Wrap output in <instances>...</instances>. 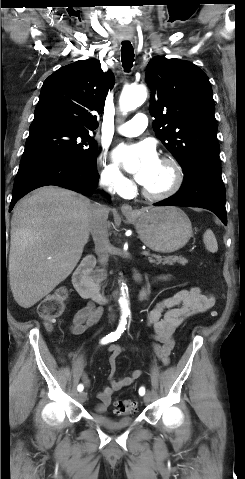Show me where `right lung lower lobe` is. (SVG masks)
Listing matches in <instances>:
<instances>
[{"mask_svg":"<svg viewBox=\"0 0 245 479\" xmlns=\"http://www.w3.org/2000/svg\"><path fill=\"white\" fill-rule=\"evenodd\" d=\"M96 168L66 158H41L20 164L9 211L15 203L32 190L55 185L78 193L90 194L97 186Z\"/></svg>","mask_w":245,"mask_h":479,"instance_id":"1","label":"right lung lower lobe"}]
</instances>
